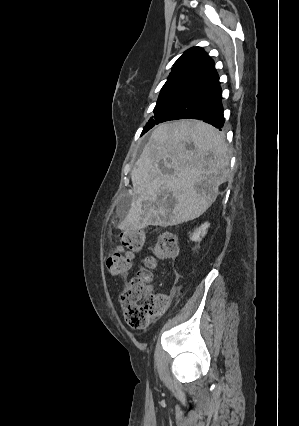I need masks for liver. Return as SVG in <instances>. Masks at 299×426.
I'll return each instance as SVG.
<instances>
[{
    "mask_svg": "<svg viewBox=\"0 0 299 426\" xmlns=\"http://www.w3.org/2000/svg\"><path fill=\"white\" fill-rule=\"evenodd\" d=\"M229 163L228 146L215 127L198 120L159 125L131 171L133 199L118 228L167 227L198 218L229 178Z\"/></svg>",
    "mask_w": 299,
    "mask_h": 426,
    "instance_id": "obj_1",
    "label": "liver"
}]
</instances>
